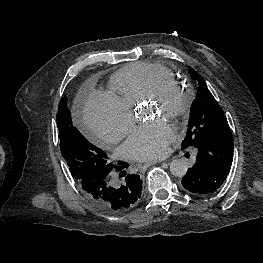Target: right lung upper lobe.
<instances>
[{
  "mask_svg": "<svg viewBox=\"0 0 263 263\" xmlns=\"http://www.w3.org/2000/svg\"><path fill=\"white\" fill-rule=\"evenodd\" d=\"M134 205H135V202L134 203H130V204L126 205V206H122L121 208H117V209L113 210L112 213L125 212L128 209L132 208Z\"/></svg>",
  "mask_w": 263,
  "mask_h": 263,
  "instance_id": "1",
  "label": "right lung upper lobe"
}]
</instances>
